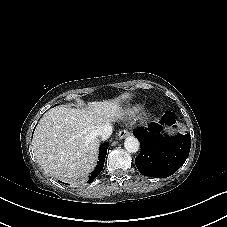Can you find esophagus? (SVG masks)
Masks as SVG:
<instances>
[{
    "label": "esophagus",
    "mask_w": 227,
    "mask_h": 227,
    "mask_svg": "<svg viewBox=\"0 0 227 227\" xmlns=\"http://www.w3.org/2000/svg\"><path fill=\"white\" fill-rule=\"evenodd\" d=\"M129 135V131L127 129H122L119 134H118V138L119 139H124L125 137H127Z\"/></svg>",
    "instance_id": "34e87169"
}]
</instances>
